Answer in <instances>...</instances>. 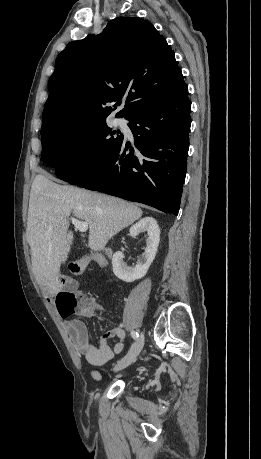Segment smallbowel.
I'll use <instances>...</instances> for the list:
<instances>
[{"label": "small bowel", "instance_id": "c3829d8e", "mask_svg": "<svg viewBox=\"0 0 261 459\" xmlns=\"http://www.w3.org/2000/svg\"><path fill=\"white\" fill-rule=\"evenodd\" d=\"M91 259L101 267H107V261L102 255L91 254ZM63 282V288L55 295L50 296L59 314L61 299L67 294L76 293L78 288V283L73 279L64 278ZM87 316L92 317L94 315ZM61 317L64 318V328L75 349L90 365L96 367L103 366L113 359L115 355H119L123 351L125 332L122 328H112L102 335L97 343L94 344L90 339L88 329L83 321L77 318L63 317L62 315ZM110 339H117V343L113 347L108 343ZM92 376L95 379H100V374L97 371H93Z\"/></svg>", "mask_w": 261, "mask_h": 459}]
</instances>
